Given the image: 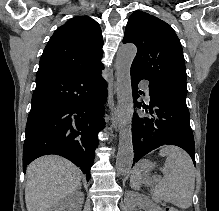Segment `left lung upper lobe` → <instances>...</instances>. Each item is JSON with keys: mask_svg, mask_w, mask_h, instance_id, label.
I'll list each match as a JSON object with an SVG mask.
<instances>
[{"mask_svg": "<svg viewBox=\"0 0 219 211\" xmlns=\"http://www.w3.org/2000/svg\"><path fill=\"white\" fill-rule=\"evenodd\" d=\"M123 43H134L138 52L131 71L186 103V68L182 46L174 30L146 12H134L126 25Z\"/></svg>", "mask_w": 219, "mask_h": 211, "instance_id": "left-lung-upper-lobe-1", "label": "left lung upper lobe"}]
</instances>
